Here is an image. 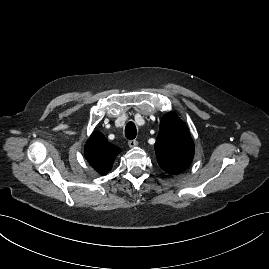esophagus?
<instances>
[{"label":"esophagus","mask_w":269,"mask_h":269,"mask_svg":"<svg viewBox=\"0 0 269 269\" xmlns=\"http://www.w3.org/2000/svg\"><path fill=\"white\" fill-rule=\"evenodd\" d=\"M128 145H129V147L133 148V147H136L138 145V142L136 140H129Z\"/></svg>","instance_id":"1"}]
</instances>
